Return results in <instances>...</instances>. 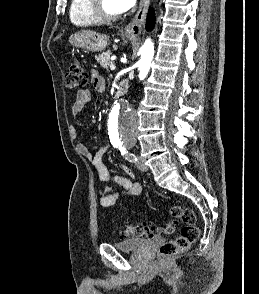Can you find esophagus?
Returning <instances> with one entry per match:
<instances>
[{"instance_id":"1","label":"esophagus","mask_w":259,"mask_h":294,"mask_svg":"<svg viewBox=\"0 0 259 294\" xmlns=\"http://www.w3.org/2000/svg\"><path fill=\"white\" fill-rule=\"evenodd\" d=\"M149 0H140L139 8L133 19L124 27L126 35L137 37L141 31L146 18Z\"/></svg>"}]
</instances>
